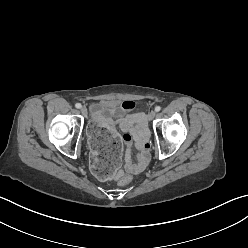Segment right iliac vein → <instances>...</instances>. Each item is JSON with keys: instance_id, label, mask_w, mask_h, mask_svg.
Returning a JSON list of instances; mask_svg holds the SVG:
<instances>
[{"instance_id": "1", "label": "right iliac vein", "mask_w": 248, "mask_h": 248, "mask_svg": "<svg viewBox=\"0 0 248 248\" xmlns=\"http://www.w3.org/2000/svg\"><path fill=\"white\" fill-rule=\"evenodd\" d=\"M81 113L84 115V116H87V109L85 107H82L81 108Z\"/></svg>"}]
</instances>
